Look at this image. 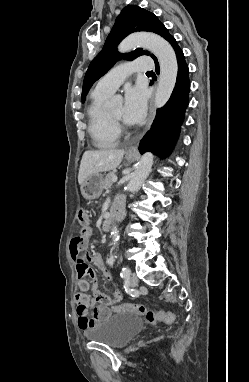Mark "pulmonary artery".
I'll use <instances>...</instances> for the list:
<instances>
[{
  "instance_id": "obj_1",
  "label": "pulmonary artery",
  "mask_w": 249,
  "mask_h": 382,
  "mask_svg": "<svg viewBox=\"0 0 249 382\" xmlns=\"http://www.w3.org/2000/svg\"><path fill=\"white\" fill-rule=\"evenodd\" d=\"M152 67V61L148 57H140L133 61L120 63L99 80L95 90L111 95L131 73L150 70Z\"/></svg>"
}]
</instances>
